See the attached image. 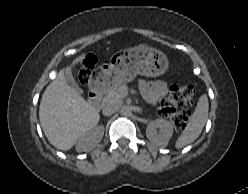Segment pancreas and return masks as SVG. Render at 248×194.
Segmentation results:
<instances>
[{"instance_id": "pancreas-1", "label": "pancreas", "mask_w": 248, "mask_h": 194, "mask_svg": "<svg viewBox=\"0 0 248 194\" xmlns=\"http://www.w3.org/2000/svg\"><path fill=\"white\" fill-rule=\"evenodd\" d=\"M127 93L126 85H117L110 90H108L105 96L102 98L103 105H115L120 104L122 99L125 97Z\"/></svg>"}]
</instances>
